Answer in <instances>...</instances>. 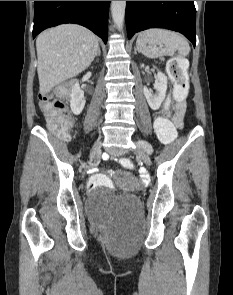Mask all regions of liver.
I'll return each instance as SVG.
<instances>
[{
	"mask_svg": "<svg viewBox=\"0 0 233 295\" xmlns=\"http://www.w3.org/2000/svg\"><path fill=\"white\" fill-rule=\"evenodd\" d=\"M98 49L97 36L80 25L63 24L39 34L36 50L40 93L45 95L86 70Z\"/></svg>",
	"mask_w": 233,
	"mask_h": 295,
	"instance_id": "6515ba94",
	"label": "liver"
}]
</instances>
